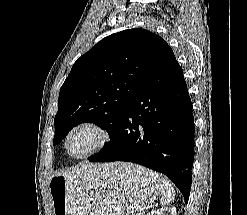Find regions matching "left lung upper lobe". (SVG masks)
Returning a JSON list of instances; mask_svg holds the SVG:
<instances>
[{
	"instance_id": "obj_1",
	"label": "left lung upper lobe",
	"mask_w": 247,
	"mask_h": 215,
	"mask_svg": "<svg viewBox=\"0 0 247 215\" xmlns=\"http://www.w3.org/2000/svg\"><path fill=\"white\" fill-rule=\"evenodd\" d=\"M168 50L160 36L129 29L104 38L82 55L60 89L53 145L83 122L95 123L111 135Z\"/></svg>"
}]
</instances>
